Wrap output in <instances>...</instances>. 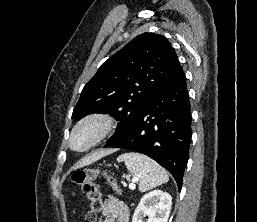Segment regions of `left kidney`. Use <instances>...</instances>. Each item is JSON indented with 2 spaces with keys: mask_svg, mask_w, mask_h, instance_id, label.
<instances>
[{
  "mask_svg": "<svg viewBox=\"0 0 257 222\" xmlns=\"http://www.w3.org/2000/svg\"><path fill=\"white\" fill-rule=\"evenodd\" d=\"M172 198L166 192L154 190L145 194L132 218V222H143L148 216L147 222H167L171 210Z\"/></svg>",
  "mask_w": 257,
  "mask_h": 222,
  "instance_id": "1",
  "label": "left kidney"
}]
</instances>
